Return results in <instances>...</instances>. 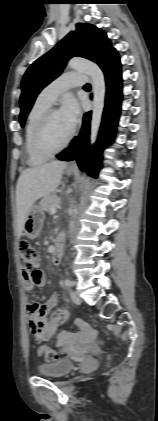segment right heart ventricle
<instances>
[{
  "instance_id": "e07e8e85",
  "label": "right heart ventricle",
  "mask_w": 158,
  "mask_h": 421,
  "mask_svg": "<svg viewBox=\"0 0 158 421\" xmlns=\"http://www.w3.org/2000/svg\"><path fill=\"white\" fill-rule=\"evenodd\" d=\"M50 107V104L37 98L31 106L25 126V152L27 162L31 166H38L47 161L49 157L39 154L34 147V131L42 114Z\"/></svg>"
}]
</instances>
